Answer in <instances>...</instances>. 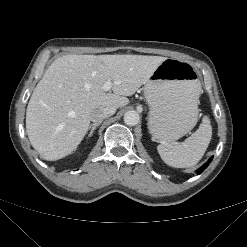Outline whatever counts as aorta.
Returning a JSON list of instances; mask_svg holds the SVG:
<instances>
[{"label":"aorta","mask_w":247,"mask_h":247,"mask_svg":"<svg viewBox=\"0 0 247 247\" xmlns=\"http://www.w3.org/2000/svg\"><path fill=\"white\" fill-rule=\"evenodd\" d=\"M124 122L126 125L128 126H135L139 123L140 121V116L138 114V112L136 111H127L125 114H124Z\"/></svg>","instance_id":"aorta-1"}]
</instances>
